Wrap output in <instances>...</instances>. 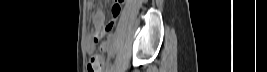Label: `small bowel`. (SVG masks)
Returning <instances> with one entry per match:
<instances>
[{
	"mask_svg": "<svg viewBox=\"0 0 267 72\" xmlns=\"http://www.w3.org/2000/svg\"><path fill=\"white\" fill-rule=\"evenodd\" d=\"M122 2L120 1V10L119 11H115L114 10V6L112 7V20L110 22H115V20L119 17L120 13H121V9H122ZM93 27L95 29V33H94V39H91L90 41H88L86 43V49L87 51L92 54L94 49H95V40L97 39H101L105 36H107L111 31H106V26L107 24H105V16L103 14V12L101 11H97L96 13L93 14L92 18H91ZM104 49L107 52L111 51L112 48V37L108 36L107 41L104 43L103 45ZM95 58H97L100 61L101 64V69L100 72L102 71V69L105 66V60L103 58H101L100 56H93Z\"/></svg>",
	"mask_w": 267,
	"mask_h": 72,
	"instance_id": "obj_1",
	"label": "small bowel"
}]
</instances>
